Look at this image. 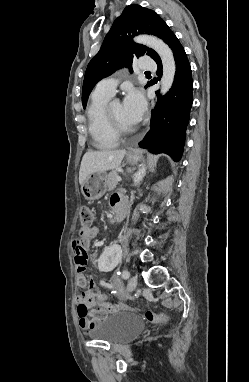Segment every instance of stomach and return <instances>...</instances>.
I'll use <instances>...</instances> for the list:
<instances>
[{"mask_svg":"<svg viewBox=\"0 0 249 382\" xmlns=\"http://www.w3.org/2000/svg\"><path fill=\"white\" fill-rule=\"evenodd\" d=\"M141 159L140 152L128 153L126 160L130 164H135ZM107 175L105 172L98 171L91 173L85 179L84 183L81 185L82 195L86 200H97L106 191L105 181Z\"/></svg>","mask_w":249,"mask_h":382,"instance_id":"1","label":"stomach"}]
</instances>
